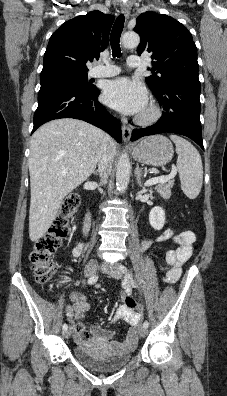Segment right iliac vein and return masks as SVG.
<instances>
[{
    "label": "right iliac vein",
    "mask_w": 227,
    "mask_h": 396,
    "mask_svg": "<svg viewBox=\"0 0 227 396\" xmlns=\"http://www.w3.org/2000/svg\"><path fill=\"white\" fill-rule=\"evenodd\" d=\"M98 269H99V263L95 260L90 261L85 269V276H87V277L94 276ZM71 332H72L71 328H67L63 332V337L69 338L71 335Z\"/></svg>",
    "instance_id": "right-iliac-vein-1"
}]
</instances>
